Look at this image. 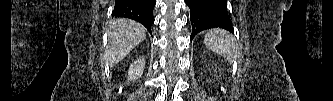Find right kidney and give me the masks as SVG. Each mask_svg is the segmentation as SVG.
<instances>
[{"label":"right kidney","instance_id":"1","mask_svg":"<svg viewBox=\"0 0 333 101\" xmlns=\"http://www.w3.org/2000/svg\"><path fill=\"white\" fill-rule=\"evenodd\" d=\"M144 67H145L144 58H139V59L135 60L129 67L128 81L140 78L143 74Z\"/></svg>","mask_w":333,"mask_h":101}]
</instances>
